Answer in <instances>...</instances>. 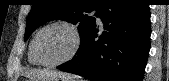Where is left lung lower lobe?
Returning <instances> with one entry per match:
<instances>
[{
    "instance_id": "1",
    "label": "left lung lower lobe",
    "mask_w": 169,
    "mask_h": 81,
    "mask_svg": "<svg viewBox=\"0 0 169 81\" xmlns=\"http://www.w3.org/2000/svg\"><path fill=\"white\" fill-rule=\"evenodd\" d=\"M76 56L57 68L92 81H142L150 50V10L144 0H106Z\"/></svg>"
}]
</instances>
